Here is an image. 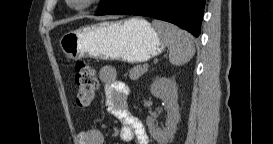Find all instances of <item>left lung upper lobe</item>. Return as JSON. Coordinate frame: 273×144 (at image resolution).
Segmentation results:
<instances>
[{
    "label": "left lung upper lobe",
    "instance_id": "1",
    "mask_svg": "<svg viewBox=\"0 0 273 144\" xmlns=\"http://www.w3.org/2000/svg\"><path fill=\"white\" fill-rule=\"evenodd\" d=\"M111 1H112V0H102V1L100 2V4H99V7H98L97 12L103 11V10L106 8V6H107Z\"/></svg>",
    "mask_w": 273,
    "mask_h": 144
}]
</instances>
